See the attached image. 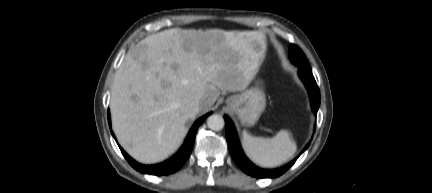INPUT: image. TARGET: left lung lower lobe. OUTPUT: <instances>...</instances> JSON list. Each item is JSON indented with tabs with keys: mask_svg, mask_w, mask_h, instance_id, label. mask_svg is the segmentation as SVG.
<instances>
[{
	"mask_svg": "<svg viewBox=\"0 0 432 193\" xmlns=\"http://www.w3.org/2000/svg\"><path fill=\"white\" fill-rule=\"evenodd\" d=\"M299 76L304 82L306 88L308 89L310 100H311V106L314 111H318L320 106V93L319 88L316 84V81L311 73V69L299 67ZM225 119V125H226V139L228 142V147L230 150V153L237 163V165L247 174L258 177V178H274L278 177L281 174H283L287 169H289L296 161L294 159L292 162L287 164L286 166L280 168V169H274V170H264L257 168L255 165L247 161L242 153V149L240 147L238 137L234 128L233 123L228 118V116H224ZM309 146V143L306 145V147L302 150L304 152ZM301 152V153H302Z\"/></svg>",
	"mask_w": 432,
	"mask_h": 193,
	"instance_id": "left-lung-lower-lobe-1",
	"label": "left lung lower lobe"
}]
</instances>
